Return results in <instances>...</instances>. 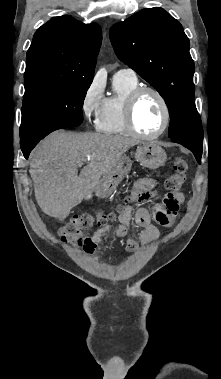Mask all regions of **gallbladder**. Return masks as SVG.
I'll return each instance as SVG.
<instances>
[{
  "label": "gallbladder",
  "mask_w": 221,
  "mask_h": 379,
  "mask_svg": "<svg viewBox=\"0 0 221 379\" xmlns=\"http://www.w3.org/2000/svg\"><path fill=\"white\" fill-rule=\"evenodd\" d=\"M59 220L63 221V219H62V218H60V217H59Z\"/></svg>",
  "instance_id": "obj_1"
}]
</instances>
